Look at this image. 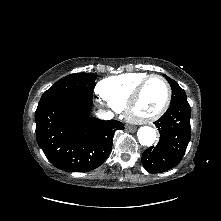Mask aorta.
<instances>
[{
    "label": "aorta",
    "instance_id": "1",
    "mask_svg": "<svg viewBox=\"0 0 221 221\" xmlns=\"http://www.w3.org/2000/svg\"><path fill=\"white\" fill-rule=\"evenodd\" d=\"M137 136L139 143L144 146H152L157 139L155 129L149 126L140 127Z\"/></svg>",
    "mask_w": 221,
    "mask_h": 221
}]
</instances>
